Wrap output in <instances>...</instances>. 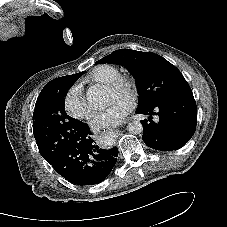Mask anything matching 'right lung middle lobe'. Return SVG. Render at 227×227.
<instances>
[{
	"label": "right lung middle lobe",
	"mask_w": 227,
	"mask_h": 227,
	"mask_svg": "<svg viewBox=\"0 0 227 227\" xmlns=\"http://www.w3.org/2000/svg\"><path fill=\"white\" fill-rule=\"evenodd\" d=\"M63 76L48 82L39 94L33 113V134L40 154L46 160L55 158L74 139L79 120L65 112L64 100L69 88L83 74Z\"/></svg>",
	"instance_id": "dd1d6c3e"
}]
</instances>
